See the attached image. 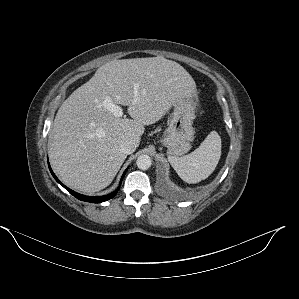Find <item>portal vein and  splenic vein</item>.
I'll return each instance as SVG.
<instances>
[{
  "instance_id": "1",
  "label": "portal vein and splenic vein",
  "mask_w": 299,
  "mask_h": 299,
  "mask_svg": "<svg viewBox=\"0 0 299 299\" xmlns=\"http://www.w3.org/2000/svg\"><path fill=\"white\" fill-rule=\"evenodd\" d=\"M136 94H137V91H135V95ZM103 104L108 110H110L112 113H114L115 116L122 117L123 109L120 106L114 104L110 98L105 99Z\"/></svg>"
}]
</instances>
